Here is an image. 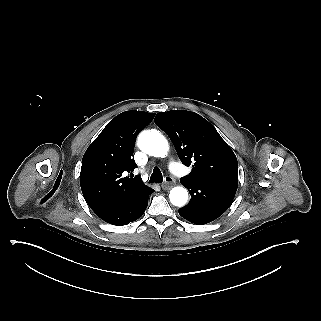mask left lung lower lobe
<instances>
[{"mask_svg":"<svg viewBox=\"0 0 321 321\" xmlns=\"http://www.w3.org/2000/svg\"><path fill=\"white\" fill-rule=\"evenodd\" d=\"M189 190V204L179 214L191 223L203 225L221 216L232 204L238 186L237 176L181 181Z\"/></svg>","mask_w":321,"mask_h":321,"instance_id":"0a47b994","label":"left lung lower lobe"}]
</instances>
